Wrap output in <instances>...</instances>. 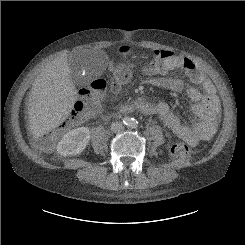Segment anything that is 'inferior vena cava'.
Returning <instances> with one entry per match:
<instances>
[{
	"label": "inferior vena cava",
	"instance_id": "inferior-vena-cava-1",
	"mask_svg": "<svg viewBox=\"0 0 245 245\" xmlns=\"http://www.w3.org/2000/svg\"><path fill=\"white\" fill-rule=\"evenodd\" d=\"M123 129L122 123L121 122H113L111 124V131L114 133H119Z\"/></svg>",
	"mask_w": 245,
	"mask_h": 245
}]
</instances>
